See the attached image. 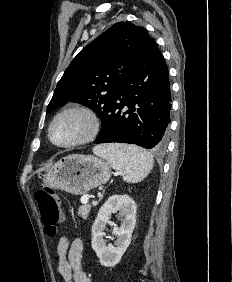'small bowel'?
Wrapping results in <instances>:
<instances>
[{
	"label": "small bowel",
	"instance_id": "1",
	"mask_svg": "<svg viewBox=\"0 0 232 282\" xmlns=\"http://www.w3.org/2000/svg\"><path fill=\"white\" fill-rule=\"evenodd\" d=\"M58 271L64 282H92L82 270L83 242L63 236L57 244Z\"/></svg>",
	"mask_w": 232,
	"mask_h": 282
}]
</instances>
